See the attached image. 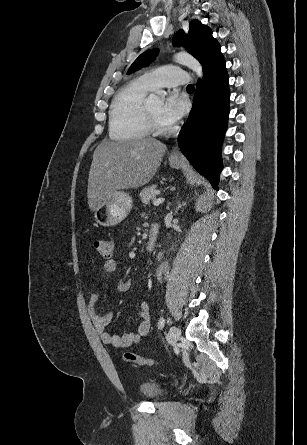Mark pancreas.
<instances>
[{"label": "pancreas", "mask_w": 307, "mask_h": 445, "mask_svg": "<svg viewBox=\"0 0 307 445\" xmlns=\"http://www.w3.org/2000/svg\"><path fill=\"white\" fill-rule=\"evenodd\" d=\"M155 190V184H153V186H147V188H142L141 192H139V196L142 202H149V200H154V198H156Z\"/></svg>", "instance_id": "obj_1"}]
</instances>
